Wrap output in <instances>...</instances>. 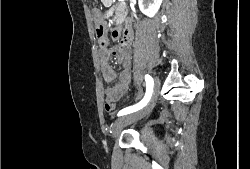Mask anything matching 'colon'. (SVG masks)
<instances>
[{
	"label": "colon",
	"mask_w": 250,
	"mask_h": 169,
	"mask_svg": "<svg viewBox=\"0 0 250 169\" xmlns=\"http://www.w3.org/2000/svg\"><path fill=\"white\" fill-rule=\"evenodd\" d=\"M95 37H100V43H105V32L102 24L95 26ZM105 106L106 108H116L115 98L107 97Z\"/></svg>",
	"instance_id": "1"
}]
</instances>
